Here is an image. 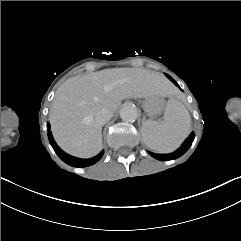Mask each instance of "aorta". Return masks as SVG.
Here are the masks:
<instances>
[{"label": "aorta", "mask_w": 241, "mask_h": 241, "mask_svg": "<svg viewBox=\"0 0 241 241\" xmlns=\"http://www.w3.org/2000/svg\"><path fill=\"white\" fill-rule=\"evenodd\" d=\"M138 113L134 106L127 105L120 110V118L124 122H134L137 119Z\"/></svg>", "instance_id": "762f6f07"}]
</instances>
